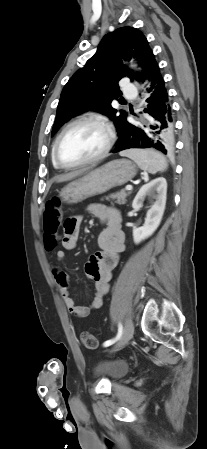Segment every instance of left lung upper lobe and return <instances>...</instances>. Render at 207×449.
<instances>
[{"label": "left lung upper lobe", "mask_w": 207, "mask_h": 449, "mask_svg": "<svg viewBox=\"0 0 207 449\" xmlns=\"http://www.w3.org/2000/svg\"><path fill=\"white\" fill-rule=\"evenodd\" d=\"M131 57L136 58L143 68L142 74L133 73L134 77L144 80L156 60L143 33L133 27H122L106 34L96 53L64 86L52 135L71 117L90 109L107 115L119 132L127 113L120 111L119 115L111 102L121 95L119 80L125 76L133 80L132 73L121 62V59Z\"/></svg>", "instance_id": "5c2ea615"}]
</instances>
